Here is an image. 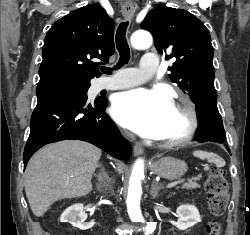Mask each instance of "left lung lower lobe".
I'll return each instance as SVG.
<instances>
[{"label": "left lung lower lobe", "instance_id": "left-lung-lower-lobe-1", "mask_svg": "<svg viewBox=\"0 0 250 235\" xmlns=\"http://www.w3.org/2000/svg\"><path fill=\"white\" fill-rule=\"evenodd\" d=\"M197 110L200 127L197 129L198 137L196 140L198 142L215 141L222 143L224 128L216 99H208L197 104Z\"/></svg>", "mask_w": 250, "mask_h": 235}]
</instances>
